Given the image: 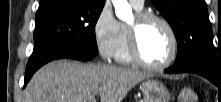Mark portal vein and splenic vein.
Returning a JSON list of instances; mask_svg holds the SVG:
<instances>
[{
  "label": "portal vein and splenic vein",
  "instance_id": "obj_1",
  "mask_svg": "<svg viewBox=\"0 0 221 102\" xmlns=\"http://www.w3.org/2000/svg\"><path fill=\"white\" fill-rule=\"evenodd\" d=\"M90 102H96L95 98H91Z\"/></svg>",
  "mask_w": 221,
  "mask_h": 102
}]
</instances>
